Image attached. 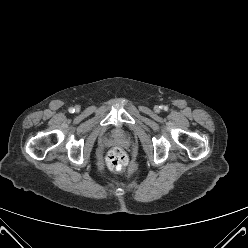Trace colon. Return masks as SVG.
Instances as JSON below:
<instances>
[{"instance_id": "obj_1", "label": "colon", "mask_w": 248, "mask_h": 248, "mask_svg": "<svg viewBox=\"0 0 248 248\" xmlns=\"http://www.w3.org/2000/svg\"><path fill=\"white\" fill-rule=\"evenodd\" d=\"M107 164L110 169L121 172L127 164V156L121 148H113L107 156Z\"/></svg>"}]
</instances>
